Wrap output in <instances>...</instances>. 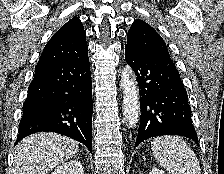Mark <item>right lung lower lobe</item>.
I'll return each mask as SVG.
<instances>
[{
  "mask_svg": "<svg viewBox=\"0 0 224 174\" xmlns=\"http://www.w3.org/2000/svg\"><path fill=\"white\" fill-rule=\"evenodd\" d=\"M56 132L92 152V83L88 55L38 68L29 85L17 144L36 132Z\"/></svg>",
  "mask_w": 224,
  "mask_h": 174,
  "instance_id": "obj_1",
  "label": "right lung lower lobe"
}]
</instances>
